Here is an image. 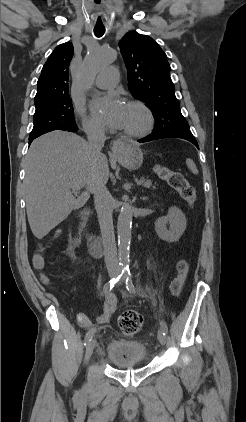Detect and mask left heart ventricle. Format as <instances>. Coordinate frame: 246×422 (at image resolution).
Instances as JSON below:
<instances>
[{
    "label": "left heart ventricle",
    "instance_id": "1",
    "mask_svg": "<svg viewBox=\"0 0 246 422\" xmlns=\"http://www.w3.org/2000/svg\"><path fill=\"white\" fill-rule=\"evenodd\" d=\"M144 124L143 113L136 107L126 105L123 130H136Z\"/></svg>",
    "mask_w": 246,
    "mask_h": 422
}]
</instances>
